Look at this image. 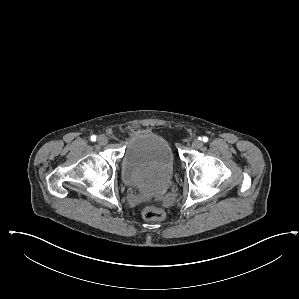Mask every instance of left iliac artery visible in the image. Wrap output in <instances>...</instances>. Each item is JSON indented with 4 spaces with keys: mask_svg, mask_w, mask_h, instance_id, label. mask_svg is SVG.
Segmentation results:
<instances>
[{
    "mask_svg": "<svg viewBox=\"0 0 299 299\" xmlns=\"http://www.w3.org/2000/svg\"><path fill=\"white\" fill-rule=\"evenodd\" d=\"M202 141H203V142H207V141H208V138H207L206 136H204V137L202 138Z\"/></svg>",
    "mask_w": 299,
    "mask_h": 299,
    "instance_id": "left-iliac-artery-1",
    "label": "left iliac artery"
}]
</instances>
